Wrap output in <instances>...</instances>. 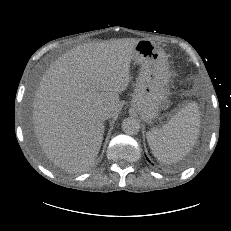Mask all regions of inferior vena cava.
<instances>
[{
    "label": "inferior vena cava",
    "instance_id": "1",
    "mask_svg": "<svg viewBox=\"0 0 231 231\" xmlns=\"http://www.w3.org/2000/svg\"><path fill=\"white\" fill-rule=\"evenodd\" d=\"M110 117V111L107 108H104L99 113V118L103 121L107 120Z\"/></svg>",
    "mask_w": 231,
    "mask_h": 231
}]
</instances>
